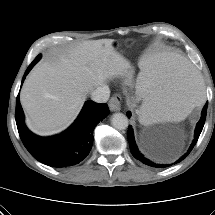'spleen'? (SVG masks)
Segmentation results:
<instances>
[{"label":"spleen","mask_w":215,"mask_h":215,"mask_svg":"<svg viewBox=\"0 0 215 215\" xmlns=\"http://www.w3.org/2000/svg\"><path fill=\"white\" fill-rule=\"evenodd\" d=\"M139 67L142 123L182 119L195 105L204 102V85L185 57L157 54L140 62Z\"/></svg>","instance_id":"spleen-1"}]
</instances>
